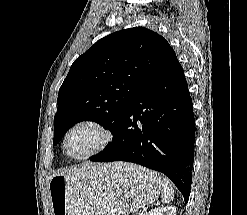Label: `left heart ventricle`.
<instances>
[{"label":"left heart ventricle","mask_w":247,"mask_h":215,"mask_svg":"<svg viewBox=\"0 0 247 215\" xmlns=\"http://www.w3.org/2000/svg\"><path fill=\"white\" fill-rule=\"evenodd\" d=\"M100 140L97 130L89 126H81L74 130L68 138V151L73 156H83L95 148Z\"/></svg>","instance_id":"b2bd125f"}]
</instances>
